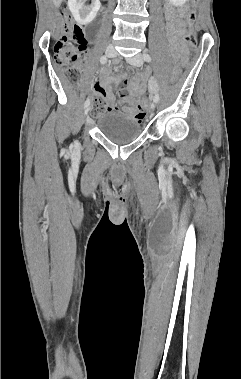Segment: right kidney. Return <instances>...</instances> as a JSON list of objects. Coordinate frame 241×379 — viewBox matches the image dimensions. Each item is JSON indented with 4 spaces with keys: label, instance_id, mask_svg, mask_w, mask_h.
Returning <instances> with one entry per match:
<instances>
[{
    "label": "right kidney",
    "instance_id": "1",
    "mask_svg": "<svg viewBox=\"0 0 241 379\" xmlns=\"http://www.w3.org/2000/svg\"><path fill=\"white\" fill-rule=\"evenodd\" d=\"M86 0H68V7L75 21L80 25H88L100 9V1L92 0L91 5H85Z\"/></svg>",
    "mask_w": 241,
    "mask_h": 379
}]
</instances>
